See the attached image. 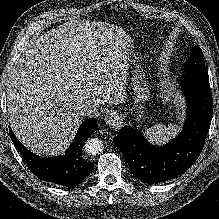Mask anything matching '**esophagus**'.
Wrapping results in <instances>:
<instances>
[{"label": "esophagus", "mask_w": 219, "mask_h": 219, "mask_svg": "<svg viewBox=\"0 0 219 219\" xmlns=\"http://www.w3.org/2000/svg\"><path fill=\"white\" fill-rule=\"evenodd\" d=\"M104 121L106 125L115 127L120 123V117L117 112L111 111L105 116Z\"/></svg>", "instance_id": "34e87169"}]
</instances>
